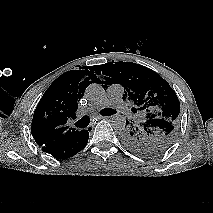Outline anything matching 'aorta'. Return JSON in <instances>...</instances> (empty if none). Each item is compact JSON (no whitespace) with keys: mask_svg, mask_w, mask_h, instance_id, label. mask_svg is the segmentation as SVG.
Here are the masks:
<instances>
[{"mask_svg":"<svg viewBox=\"0 0 213 213\" xmlns=\"http://www.w3.org/2000/svg\"><path fill=\"white\" fill-rule=\"evenodd\" d=\"M105 93L104 88L97 83L89 85L86 89L87 96L92 100L101 98ZM112 126L118 131H123L126 126V119L121 115H116L112 118Z\"/></svg>","mask_w":213,"mask_h":213,"instance_id":"aorta-1","label":"aorta"}]
</instances>
